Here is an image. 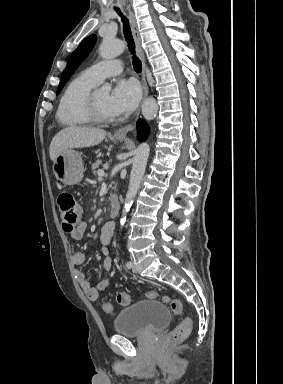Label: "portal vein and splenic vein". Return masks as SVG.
Listing matches in <instances>:
<instances>
[{"label":"portal vein and splenic vein","instance_id":"18ae733b","mask_svg":"<svg viewBox=\"0 0 283 384\" xmlns=\"http://www.w3.org/2000/svg\"><path fill=\"white\" fill-rule=\"evenodd\" d=\"M97 174H98L99 178H102V176H105L104 170H98Z\"/></svg>","mask_w":283,"mask_h":384}]
</instances>
